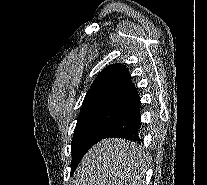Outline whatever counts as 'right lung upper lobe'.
Returning <instances> with one entry per match:
<instances>
[{"label": "right lung upper lobe", "mask_w": 207, "mask_h": 185, "mask_svg": "<svg viewBox=\"0 0 207 185\" xmlns=\"http://www.w3.org/2000/svg\"><path fill=\"white\" fill-rule=\"evenodd\" d=\"M139 99L128 69L122 64H113L104 68L91 85L81 112L100 108L124 112Z\"/></svg>", "instance_id": "obj_1"}]
</instances>
